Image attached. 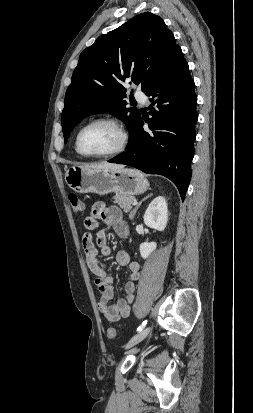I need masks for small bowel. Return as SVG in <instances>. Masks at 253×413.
<instances>
[{"label": "small bowel", "instance_id": "1", "mask_svg": "<svg viewBox=\"0 0 253 413\" xmlns=\"http://www.w3.org/2000/svg\"><path fill=\"white\" fill-rule=\"evenodd\" d=\"M101 220L107 227H112L118 236L125 238L128 235V227L123 220L122 211L117 206H107L104 202H96L87 217L84 219L85 234L82 237V247L86 256L87 265L95 275L94 283L100 292L98 309L100 313L109 321H118L127 318L131 314V306L134 302L136 282L140 277V264L131 261L126 251H119L116 260L121 266L128 267L129 276L125 283V296L115 303H111L115 298L113 286V275L107 270L101 261L98 249L102 256L111 253V247L107 240L105 230H99L96 235L92 231L98 227Z\"/></svg>", "mask_w": 253, "mask_h": 413}]
</instances>
